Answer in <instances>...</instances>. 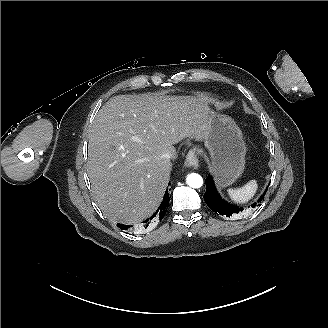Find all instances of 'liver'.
Masks as SVG:
<instances>
[{
  "mask_svg": "<svg viewBox=\"0 0 328 328\" xmlns=\"http://www.w3.org/2000/svg\"><path fill=\"white\" fill-rule=\"evenodd\" d=\"M208 102L159 94L119 95L95 117L88 146V176L100 209L114 221L135 224L159 206L185 138L203 141Z\"/></svg>",
  "mask_w": 328,
  "mask_h": 328,
  "instance_id": "6515ba94",
  "label": "liver"
}]
</instances>
